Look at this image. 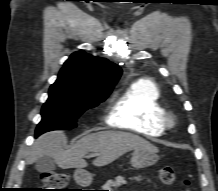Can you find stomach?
Wrapping results in <instances>:
<instances>
[{
	"instance_id": "0dacf381",
	"label": "stomach",
	"mask_w": 218,
	"mask_h": 191,
	"mask_svg": "<svg viewBox=\"0 0 218 191\" xmlns=\"http://www.w3.org/2000/svg\"><path fill=\"white\" fill-rule=\"evenodd\" d=\"M156 153L151 150H134L131 165L136 169L152 166L159 160ZM74 179L81 186H89L93 181V175L85 170L77 169L74 173Z\"/></svg>"
}]
</instances>
